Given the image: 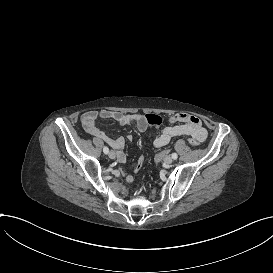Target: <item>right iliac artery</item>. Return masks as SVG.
<instances>
[{"mask_svg": "<svg viewBox=\"0 0 273 273\" xmlns=\"http://www.w3.org/2000/svg\"><path fill=\"white\" fill-rule=\"evenodd\" d=\"M103 152H104L105 154H108V152H109L108 147L105 146V147L103 148Z\"/></svg>", "mask_w": 273, "mask_h": 273, "instance_id": "82829eb1", "label": "right iliac artery"}]
</instances>
